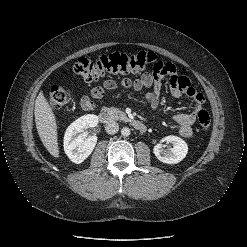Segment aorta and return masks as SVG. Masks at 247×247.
Instances as JSON below:
<instances>
[{
    "instance_id": "762f6f07",
    "label": "aorta",
    "mask_w": 247,
    "mask_h": 247,
    "mask_svg": "<svg viewBox=\"0 0 247 247\" xmlns=\"http://www.w3.org/2000/svg\"><path fill=\"white\" fill-rule=\"evenodd\" d=\"M121 134H122V136H124V137L129 136V135H130V129H129L128 127H123V128L121 129Z\"/></svg>"
}]
</instances>
